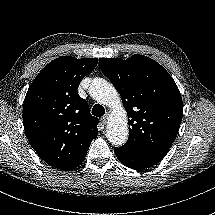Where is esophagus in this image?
Segmentation results:
<instances>
[{"mask_svg":"<svg viewBox=\"0 0 215 215\" xmlns=\"http://www.w3.org/2000/svg\"><path fill=\"white\" fill-rule=\"evenodd\" d=\"M108 116H109V112H107V113L101 118V121H102L103 124H106V123H107Z\"/></svg>","mask_w":215,"mask_h":215,"instance_id":"34e87169","label":"esophagus"}]
</instances>
